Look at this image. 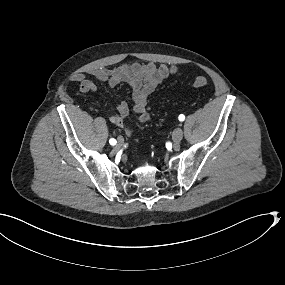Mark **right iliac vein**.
Masks as SVG:
<instances>
[{"mask_svg":"<svg viewBox=\"0 0 285 285\" xmlns=\"http://www.w3.org/2000/svg\"><path fill=\"white\" fill-rule=\"evenodd\" d=\"M124 143V139L122 137H118L117 139V146L120 147Z\"/></svg>","mask_w":285,"mask_h":285,"instance_id":"right-iliac-vein-1","label":"right iliac vein"}]
</instances>
